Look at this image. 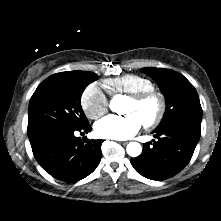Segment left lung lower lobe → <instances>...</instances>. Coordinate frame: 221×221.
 <instances>
[{
    "mask_svg": "<svg viewBox=\"0 0 221 221\" xmlns=\"http://www.w3.org/2000/svg\"><path fill=\"white\" fill-rule=\"evenodd\" d=\"M201 122L178 119L153 133L158 141L143 145L140 156L131 159L142 176L163 181L179 173L190 161L200 138Z\"/></svg>",
    "mask_w": 221,
    "mask_h": 221,
    "instance_id": "1",
    "label": "left lung lower lobe"
}]
</instances>
